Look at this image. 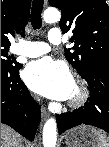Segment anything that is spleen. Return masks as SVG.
<instances>
[{
    "label": "spleen",
    "instance_id": "1",
    "mask_svg": "<svg viewBox=\"0 0 109 147\" xmlns=\"http://www.w3.org/2000/svg\"><path fill=\"white\" fill-rule=\"evenodd\" d=\"M99 140L100 144L98 147H109V137L105 132L101 131L99 133Z\"/></svg>",
    "mask_w": 109,
    "mask_h": 147
}]
</instances>
